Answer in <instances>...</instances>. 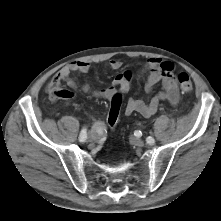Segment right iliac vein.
<instances>
[{
  "mask_svg": "<svg viewBox=\"0 0 221 221\" xmlns=\"http://www.w3.org/2000/svg\"><path fill=\"white\" fill-rule=\"evenodd\" d=\"M96 139H97V136L95 133H93V132L89 133V135H88L89 142H94V141H96Z\"/></svg>",
  "mask_w": 221,
  "mask_h": 221,
  "instance_id": "63e3f726",
  "label": "right iliac vein"
}]
</instances>
